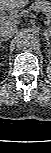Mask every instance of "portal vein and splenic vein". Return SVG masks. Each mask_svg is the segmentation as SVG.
Masks as SVG:
<instances>
[{
  "label": "portal vein and splenic vein",
  "mask_w": 51,
  "mask_h": 153,
  "mask_svg": "<svg viewBox=\"0 0 51 153\" xmlns=\"http://www.w3.org/2000/svg\"><path fill=\"white\" fill-rule=\"evenodd\" d=\"M12 17H14V16H12ZM6 18H7L6 16H1L2 21L6 20Z\"/></svg>",
  "instance_id": "18ae733b"
}]
</instances>
